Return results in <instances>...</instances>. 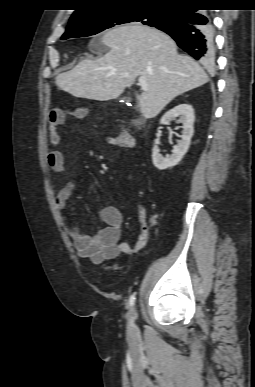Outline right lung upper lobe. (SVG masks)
Wrapping results in <instances>:
<instances>
[{
	"label": "right lung upper lobe",
	"mask_w": 255,
	"mask_h": 387,
	"mask_svg": "<svg viewBox=\"0 0 255 387\" xmlns=\"http://www.w3.org/2000/svg\"><path fill=\"white\" fill-rule=\"evenodd\" d=\"M200 0H78V9L70 21L78 20L95 13L122 6H162L177 7L198 3Z\"/></svg>",
	"instance_id": "obj_1"
}]
</instances>
